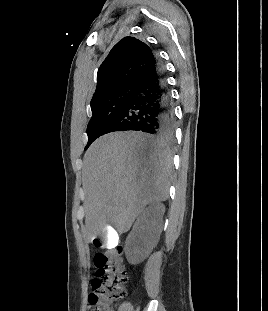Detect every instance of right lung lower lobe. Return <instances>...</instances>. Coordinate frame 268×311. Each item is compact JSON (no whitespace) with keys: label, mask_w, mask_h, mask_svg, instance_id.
Masks as SVG:
<instances>
[{"label":"right lung lower lobe","mask_w":268,"mask_h":311,"mask_svg":"<svg viewBox=\"0 0 268 311\" xmlns=\"http://www.w3.org/2000/svg\"><path fill=\"white\" fill-rule=\"evenodd\" d=\"M175 118L163 68L156 58L135 84V91L121 113L108 126L105 134L115 131H142L170 142Z\"/></svg>","instance_id":"1"}]
</instances>
